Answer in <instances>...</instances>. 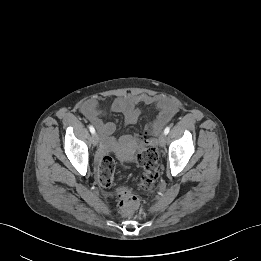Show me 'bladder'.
Wrapping results in <instances>:
<instances>
[{
	"mask_svg": "<svg viewBox=\"0 0 261 261\" xmlns=\"http://www.w3.org/2000/svg\"><path fill=\"white\" fill-rule=\"evenodd\" d=\"M133 153H134L133 149L129 151H123L122 149H120V151H118V157L121 161H127L131 158Z\"/></svg>",
	"mask_w": 261,
	"mask_h": 261,
	"instance_id": "bladder-1",
	"label": "bladder"
}]
</instances>
